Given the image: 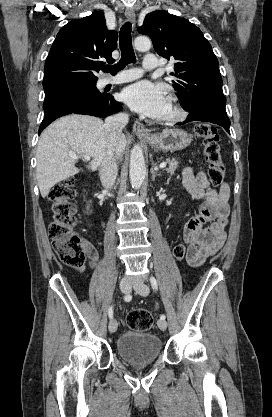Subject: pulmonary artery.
<instances>
[{"label":"pulmonary artery","mask_w":272,"mask_h":417,"mask_svg":"<svg viewBox=\"0 0 272 417\" xmlns=\"http://www.w3.org/2000/svg\"><path fill=\"white\" fill-rule=\"evenodd\" d=\"M158 65H159L158 58L154 54H147L144 57L143 68L145 70L156 69ZM141 75H142V70L134 68V69L123 71L122 73L118 74L112 79L107 80L106 82L113 83V84L124 83V82L135 80L141 77Z\"/></svg>","instance_id":"e3ab8cb5"}]
</instances>
